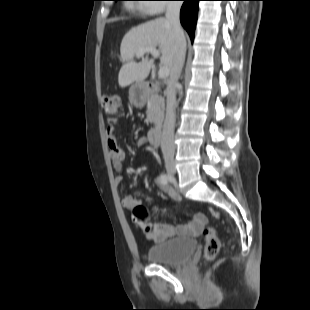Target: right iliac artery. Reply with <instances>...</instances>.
<instances>
[{"label":"right iliac artery","instance_id":"1","mask_svg":"<svg viewBox=\"0 0 310 310\" xmlns=\"http://www.w3.org/2000/svg\"><path fill=\"white\" fill-rule=\"evenodd\" d=\"M160 179H161L162 183L167 184L170 177L167 174H161Z\"/></svg>","mask_w":310,"mask_h":310}]
</instances>
